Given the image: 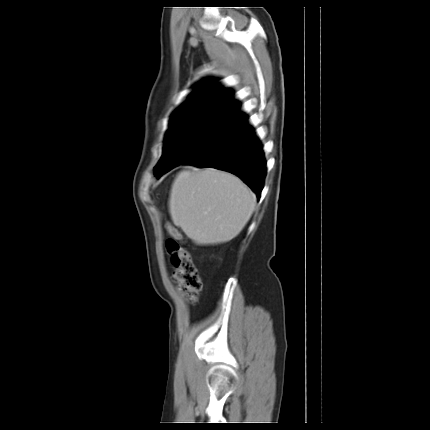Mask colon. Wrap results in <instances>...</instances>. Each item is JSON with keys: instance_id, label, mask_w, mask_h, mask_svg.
I'll return each instance as SVG.
<instances>
[{"instance_id": "obj_1", "label": "colon", "mask_w": 430, "mask_h": 430, "mask_svg": "<svg viewBox=\"0 0 430 430\" xmlns=\"http://www.w3.org/2000/svg\"><path fill=\"white\" fill-rule=\"evenodd\" d=\"M170 238L166 240L165 246L169 255L170 263L174 270L172 278L186 293L191 302L198 300L202 290V282L193 262L190 252L181 244L182 235L177 228L168 226Z\"/></svg>"}]
</instances>
